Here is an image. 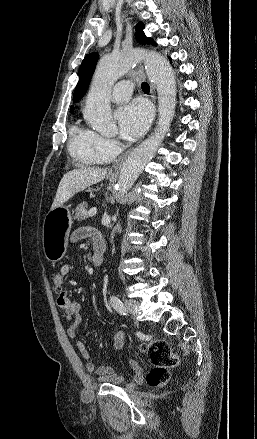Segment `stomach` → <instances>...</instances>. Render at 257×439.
I'll list each match as a JSON object with an SVG mask.
<instances>
[{"label":"stomach","instance_id":"1","mask_svg":"<svg viewBox=\"0 0 257 439\" xmlns=\"http://www.w3.org/2000/svg\"><path fill=\"white\" fill-rule=\"evenodd\" d=\"M72 223L68 206L62 205L47 213L43 224V248L49 261L55 263L65 255Z\"/></svg>","mask_w":257,"mask_h":439}]
</instances>
